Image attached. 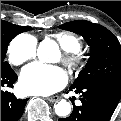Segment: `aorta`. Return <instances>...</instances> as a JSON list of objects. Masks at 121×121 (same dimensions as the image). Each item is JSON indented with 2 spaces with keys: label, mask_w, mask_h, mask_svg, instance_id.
<instances>
[{
  "label": "aorta",
  "mask_w": 121,
  "mask_h": 121,
  "mask_svg": "<svg viewBox=\"0 0 121 121\" xmlns=\"http://www.w3.org/2000/svg\"><path fill=\"white\" fill-rule=\"evenodd\" d=\"M57 52V45L55 42L50 40H45L40 43L38 47V57L41 61H49L50 56ZM55 113L60 117H65L70 114L71 105L66 100H61L54 105Z\"/></svg>",
  "instance_id": "obj_1"
}]
</instances>
